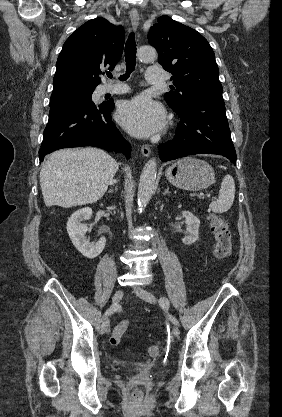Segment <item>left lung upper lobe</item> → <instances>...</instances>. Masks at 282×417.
Listing matches in <instances>:
<instances>
[{"instance_id":"obj_1","label":"left lung upper lobe","mask_w":282,"mask_h":417,"mask_svg":"<svg viewBox=\"0 0 282 417\" xmlns=\"http://www.w3.org/2000/svg\"><path fill=\"white\" fill-rule=\"evenodd\" d=\"M157 21L149 31L148 41L158 51L159 63L173 75L171 80L176 91L165 94L167 104L173 110H180L197 94L222 95L219 69L208 41L169 16H161Z\"/></svg>"}]
</instances>
